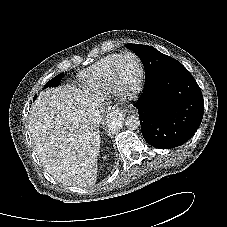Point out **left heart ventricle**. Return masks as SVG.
Returning a JSON list of instances; mask_svg holds the SVG:
<instances>
[{
    "mask_svg": "<svg viewBox=\"0 0 227 227\" xmlns=\"http://www.w3.org/2000/svg\"><path fill=\"white\" fill-rule=\"evenodd\" d=\"M138 75V65L131 56L122 58L117 69V79L122 86L130 87Z\"/></svg>",
    "mask_w": 227,
    "mask_h": 227,
    "instance_id": "left-heart-ventricle-1",
    "label": "left heart ventricle"
}]
</instances>
